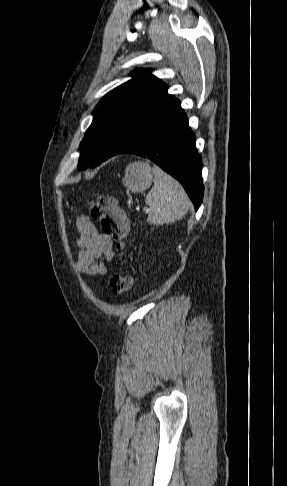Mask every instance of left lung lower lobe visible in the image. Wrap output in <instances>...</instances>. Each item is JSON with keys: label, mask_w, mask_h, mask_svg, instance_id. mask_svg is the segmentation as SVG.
<instances>
[{"label": "left lung lower lobe", "mask_w": 287, "mask_h": 486, "mask_svg": "<svg viewBox=\"0 0 287 486\" xmlns=\"http://www.w3.org/2000/svg\"><path fill=\"white\" fill-rule=\"evenodd\" d=\"M128 153L147 158L175 177L197 210L203 199L202 160L195 135L180 104L146 139Z\"/></svg>", "instance_id": "left-lung-lower-lobe-1"}]
</instances>
